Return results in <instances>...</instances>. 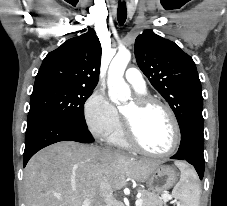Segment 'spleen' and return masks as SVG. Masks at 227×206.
Instances as JSON below:
<instances>
[{"mask_svg":"<svg viewBox=\"0 0 227 206\" xmlns=\"http://www.w3.org/2000/svg\"><path fill=\"white\" fill-rule=\"evenodd\" d=\"M181 171L179 183L173 189V197L180 202L179 206H199L200 188L196 183L190 181L195 179L193 170L187 169L182 163H176Z\"/></svg>","mask_w":227,"mask_h":206,"instance_id":"3e777b00","label":"spleen"}]
</instances>
